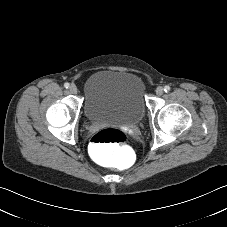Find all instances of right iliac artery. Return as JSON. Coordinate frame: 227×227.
<instances>
[{
  "mask_svg": "<svg viewBox=\"0 0 227 227\" xmlns=\"http://www.w3.org/2000/svg\"><path fill=\"white\" fill-rule=\"evenodd\" d=\"M64 87H65L66 89H68V88L70 87V84H69V83H65V84H64Z\"/></svg>",
  "mask_w": 227,
  "mask_h": 227,
  "instance_id": "1",
  "label": "right iliac artery"
}]
</instances>
